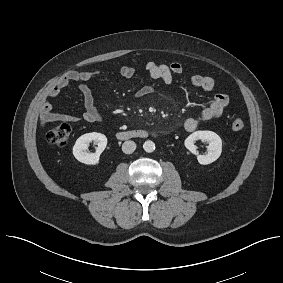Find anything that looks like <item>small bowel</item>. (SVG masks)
<instances>
[{"label":"small bowel","mask_w":283,"mask_h":283,"mask_svg":"<svg viewBox=\"0 0 283 283\" xmlns=\"http://www.w3.org/2000/svg\"><path fill=\"white\" fill-rule=\"evenodd\" d=\"M146 70L150 77L155 80H162L166 84L172 82L174 75L183 73V67L178 62L170 64H158L149 62L146 65ZM135 68L129 65L122 66L119 74L124 78H132L135 75ZM98 74L97 71H70L65 74L59 82L52 87L49 91V97L56 98L60 95L61 91L72 82L79 83V90L83 97V109L76 114L58 113L53 110V105L50 101L46 100L41 107V120L43 123L52 122H99L102 121L104 116L97 109L95 105L94 96L91 88L87 84ZM190 82L194 87L202 88L206 91L214 90L216 83L215 80L206 75L195 74L190 78ZM155 87L147 85L142 87L135 95L136 98H141L153 93ZM229 104V97L227 94L219 92L214 95L210 104L205 107L199 117H189L184 122V128L188 132L195 131L201 122L209 121L214 118L222 116L225 108Z\"/></svg>","instance_id":"obj_1"}]
</instances>
